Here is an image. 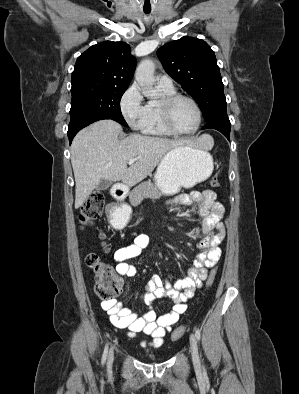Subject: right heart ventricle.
<instances>
[{
  "label": "right heart ventricle",
  "instance_id": "obj_1",
  "mask_svg": "<svg viewBox=\"0 0 299 394\" xmlns=\"http://www.w3.org/2000/svg\"><path fill=\"white\" fill-rule=\"evenodd\" d=\"M158 88L163 98L176 94L174 87L166 88L158 85ZM146 106H147V114L142 126L143 133L153 136L173 135L164 128L161 122L159 108H158L159 103L156 101H149Z\"/></svg>",
  "mask_w": 299,
  "mask_h": 394
}]
</instances>
